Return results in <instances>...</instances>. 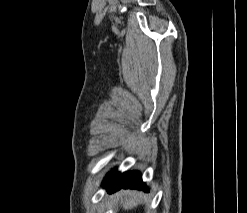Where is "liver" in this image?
Here are the masks:
<instances>
[{
	"mask_svg": "<svg viewBox=\"0 0 247 213\" xmlns=\"http://www.w3.org/2000/svg\"><path fill=\"white\" fill-rule=\"evenodd\" d=\"M120 195H123V192H121ZM121 203L123 204L125 210L136 207L139 203V193L133 192L128 199L121 198Z\"/></svg>",
	"mask_w": 247,
	"mask_h": 213,
	"instance_id": "liver-1",
	"label": "liver"
}]
</instances>
